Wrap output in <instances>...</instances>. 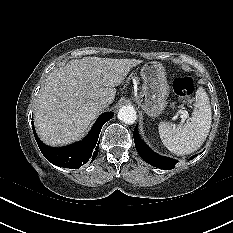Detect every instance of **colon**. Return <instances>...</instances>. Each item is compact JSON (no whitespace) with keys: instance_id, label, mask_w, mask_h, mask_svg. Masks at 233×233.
Wrapping results in <instances>:
<instances>
[{"instance_id":"colon-1","label":"colon","mask_w":233,"mask_h":233,"mask_svg":"<svg viewBox=\"0 0 233 233\" xmlns=\"http://www.w3.org/2000/svg\"><path fill=\"white\" fill-rule=\"evenodd\" d=\"M173 89L178 98L186 102L194 91V81L188 76H178L173 82Z\"/></svg>"}]
</instances>
